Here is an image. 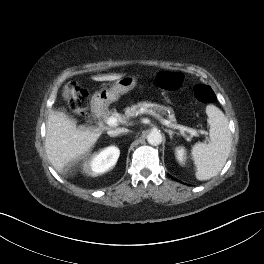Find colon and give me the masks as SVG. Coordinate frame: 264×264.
<instances>
[{"instance_id": "obj_1", "label": "colon", "mask_w": 264, "mask_h": 264, "mask_svg": "<svg viewBox=\"0 0 264 264\" xmlns=\"http://www.w3.org/2000/svg\"><path fill=\"white\" fill-rule=\"evenodd\" d=\"M157 85L170 92H181L185 85V77L179 72H161L156 77ZM68 95L73 112L80 123H85L86 108L88 104L87 92L77 86L76 84L70 85L68 88ZM194 97L200 103H211L215 99L213 90L204 84H198L194 88Z\"/></svg>"}]
</instances>
